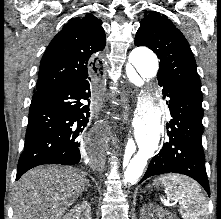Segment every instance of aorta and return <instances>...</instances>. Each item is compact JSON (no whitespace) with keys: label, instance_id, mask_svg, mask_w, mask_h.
<instances>
[{"label":"aorta","instance_id":"762f6f07","mask_svg":"<svg viewBox=\"0 0 221 219\" xmlns=\"http://www.w3.org/2000/svg\"><path fill=\"white\" fill-rule=\"evenodd\" d=\"M129 62L143 79L155 77L159 68L157 56L145 47L135 48L129 55ZM154 100L152 95H148L135 117L134 134L138 150L135 152L133 146H128L118 169L124 188L138 182L148 158L158 149L162 132V112Z\"/></svg>","mask_w":221,"mask_h":219}]
</instances>
